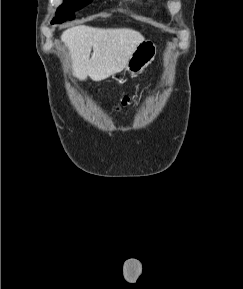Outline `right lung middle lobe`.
Masks as SVG:
<instances>
[{"label":"right lung middle lobe","instance_id":"obj_1","mask_svg":"<svg viewBox=\"0 0 243 289\" xmlns=\"http://www.w3.org/2000/svg\"><path fill=\"white\" fill-rule=\"evenodd\" d=\"M92 0H64L58 9L55 18L52 20V24L63 23L66 20L74 19V12L77 9H81Z\"/></svg>","mask_w":243,"mask_h":289}]
</instances>
